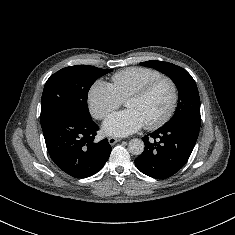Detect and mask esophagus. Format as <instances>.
<instances>
[{"label": "esophagus", "instance_id": "34e87169", "mask_svg": "<svg viewBox=\"0 0 235 235\" xmlns=\"http://www.w3.org/2000/svg\"><path fill=\"white\" fill-rule=\"evenodd\" d=\"M120 141H121L120 138H116V137H113V136L108 138V142H109L110 145H114L115 143L120 142Z\"/></svg>", "mask_w": 235, "mask_h": 235}]
</instances>
